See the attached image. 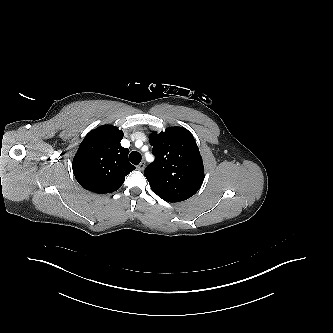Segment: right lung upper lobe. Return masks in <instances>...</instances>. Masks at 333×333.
<instances>
[{
  "instance_id": "obj_1",
  "label": "right lung upper lobe",
  "mask_w": 333,
  "mask_h": 333,
  "mask_svg": "<svg viewBox=\"0 0 333 333\" xmlns=\"http://www.w3.org/2000/svg\"><path fill=\"white\" fill-rule=\"evenodd\" d=\"M122 138V130L111 125L85 136L72 163L74 176L84 189L98 194L114 192L135 169L128 161L129 150L120 144Z\"/></svg>"
}]
</instances>
